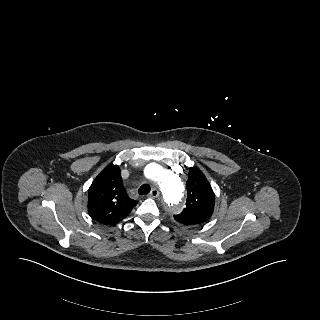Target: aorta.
I'll use <instances>...</instances> for the list:
<instances>
[{
	"instance_id": "762f6f07",
	"label": "aorta",
	"mask_w": 320,
	"mask_h": 320,
	"mask_svg": "<svg viewBox=\"0 0 320 320\" xmlns=\"http://www.w3.org/2000/svg\"><path fill=\"white\" fill-rule=\"evenodd\" d=\"M144 173L146 177L157 181L169 209L179 213L184 207L183 185L180 178L171 171H158L157 166L150 165L145 168Z\"/></svg>"
}]
</instances>
